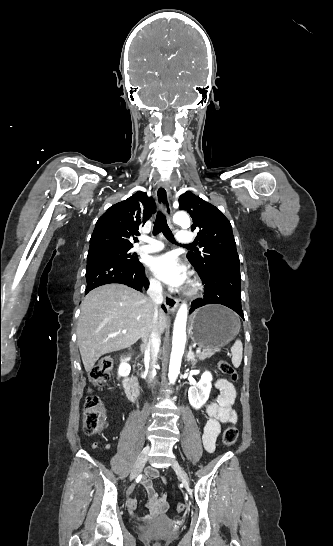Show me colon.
<instances>
[{"label":"colon","instance_id":"1","mask_svg":"<svg viewBox=\"0 0 333 546\" xmlns=\"http://www.w3.org/2000/svg\"><path fill=\"white\" fill-rule=\"evenodd\" d=\"M114 366L113 359L109 356L102 357L91 369L89 379L95 386H100L105 383L112 372ZM218 368L221 373L228 376L231 380H237V372L235 368L226 360L218 362ZM107 415L101 400L90 395L86 398L83 411V429L88 435L99 433L105 427ZM238 429L235 426H229L223 433L222 442L225 446L233 445L238 439ZM185 510L183 503L176 505V511L182 513ZM153 546H161L154 544Z\"/></svg>","mask_w":333,"mask_h":546}]
</instances>
